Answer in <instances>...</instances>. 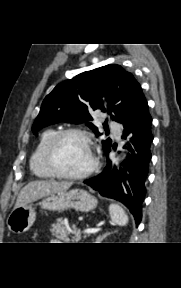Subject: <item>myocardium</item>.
<instances>
[{
    "label": "myocardium",
    "mask_w": 181,
    "mask_h": 288,
    "mask_svg": "<svg viewBox=\"0 0 181 288\" xmlns=\"http://www.w3.org/2000/svg\"><path fill=\"white\" fill-rule=\"evenodd\" d=\"M75 135L82 138L89 147L91 154V164L89 167L80 172V173H68L64 171L58 164L56 160V151L61 140L67 136ZM45 161L48 168L57 176L65 179L79 180L88 177L92 174L98 167L99 160L98 156L94 150V143L91 135L82 129L79 128H67L56 132V134L50 140L46 152H45Z\"/></svg>",
    "instance_id": "f54148a6"
}]
</instances>
